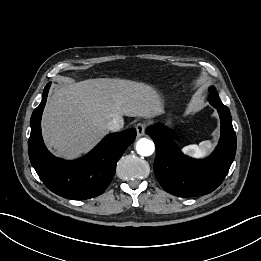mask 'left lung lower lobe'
<instances>
[{
	"instance_id": "0a47b994",
	"label": "left lung lower lobe",
	"mask_w": 261,
	"mask_h": 261,
	"mask_svg": "<svg viewBox=\"0 0 261 261\" xmlns=\"http://www.w3.org/2000/svg\"><path fill=\"white\" fill-rule=\"evenodd\" d=\"M221 121V137L213 154L202 160L185 156L160 126L148 127L146 133L156 145L154 172L161 186L180 197L211 193L226 177L236 153V135L229 109L216 108Z\"/></svg>"
}]
</instances>
